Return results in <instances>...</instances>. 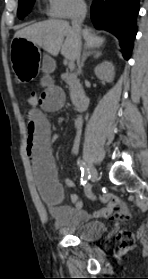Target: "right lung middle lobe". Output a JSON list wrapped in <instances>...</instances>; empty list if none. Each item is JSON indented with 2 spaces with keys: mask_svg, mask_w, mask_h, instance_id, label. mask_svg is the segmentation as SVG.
<instances>
[{
  "mask_svg": "<svg viewBox=\"0 0 148 279\" xmlns=\"http://www.w3.org/2000/svg\"><path fill=\"white\" fill-rule=\"evenodd\" d=\"M34 2L35 0H19L17 15L20 19H23L27 15Z\"/></svg>",
  "mask_w": 148,
  "mask_h": 279,
  "instance_id": "dd1d6c3e",
  "label": "right lung middle lobe"
}]
</instances>
